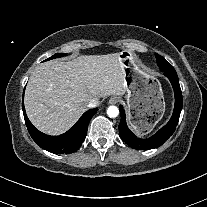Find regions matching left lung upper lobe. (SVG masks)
Listing matches in <instances>:
<instances>
[{
  "instance_id": "obj_1",
  "label": "left lung upper lobe",
  "mask_w": 207,
  "mask_h": 207,
  "mask_svg": "<svg viewBox=\"0 0 207 207\" xmlns=\"http://www.w3.org/2000/svg\"><path fill=\"white\" fill-rule=\"evenodd\" d=\"M156 60L161 71L173 69V66L169 64L162 56L156 54Z\"/></svg>"
}]
</instances>
